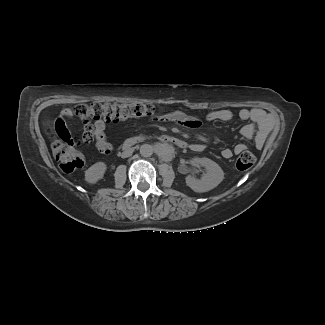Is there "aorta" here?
<instances>
[{"label":"aorta","instance_id":"1","mask_svg":"<svg viewBox=\"0 0 325 325\" xmlns=\"http://www.w3.org/2000/svg\"><path fill=\"white\" fill-rule=\"evenodd\" d=\"M153 151H154L153 147L149 144H143L140 147V154L143 157H150L153 154Z\"/></svg>","mask_w":325,"mask_h":325}]
</instances>
